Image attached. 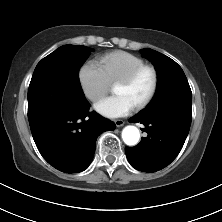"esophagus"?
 Returning a JSON list of instances; mask_svg holds the SVG:
<instances>
[{
	"instance_id": "34e87169",
	"label": "esophagus",
	"mask_w": 222,
	"mask_h": 222,
	"mask_svg": "<svg viewBox=\"0 0 222 222\" xmlns=\"http://www.w3.org/2000/svg\"><path fill=\"white\" fill-rule=\"evenodd\" d=\"M115 124L117 127H122L124 125V121L121 119L115 120Z\"/></svg>"
}]
</instances>
